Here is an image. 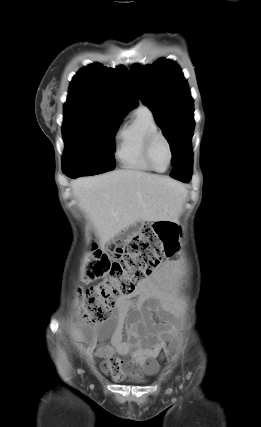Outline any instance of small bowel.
<instances>
[{
    "label": "small bowel",
    "instance_id": "small-bowel-1",
    "mask_svg": "<svg viewBox=\"0 0 261 427\" xmlns=\"http://www.w3.org/2000/svg\"><path fill=\"white\" fill-rule=\"evenodd\" d=\"M159 271H153L149 279L141 282L131 296L118 301L117 313L111 325L110 344L96 347L97 334L91 330H82L83 339L89 344L92 352L98 357L105 358L102 367L116 378L136 376L137 373L123 365L119 356L130 354L134 364L140 366L147 374H154L158 369L157 358L166 348L172 331L165 325L158 324L152 318L153 304L146 297V289L150 282L156 281ZM142 296L143 299L133 305L132 298ZM130 308L132 312L128 315ZM127 323V340H123L124 322Z\"/></svg>",
    "mask_w": 261,
    "mask_h": 427
}]
</instances>
